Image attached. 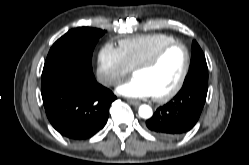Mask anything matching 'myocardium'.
<instances>
[{"mask_svg":"<svg viewBox=\"0 0 249 165\" xmlns=\"http://www.w3.org/2000/svg\"><path fill=\"white\" fill-rule=\"evenodd\" d=\"M176 46H180L184 50V53H185V64H184L183 70L180 74V77H179L177 83L170 91H168L165 94L157 95V96L153 97L154 100L157 102H166V101L170 100L183 87V84L186 80V77H187L189 69H190V64H191V55H190V51H189L188 47L183 42H180V41H173V42L167 43V44L163 45L162 47H160L152 57H150L146 61L140 63L139 65H137L134 68V74L138 71L152 68L161 60V58L164 56V54L168 50H170L171 48L176 47Z\"/></svg>","mask_w":249,"mask_h":165,"instance_id":"f54148a6","label":"myocardium"}]
</instances>
